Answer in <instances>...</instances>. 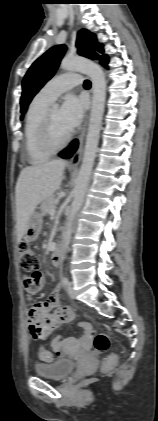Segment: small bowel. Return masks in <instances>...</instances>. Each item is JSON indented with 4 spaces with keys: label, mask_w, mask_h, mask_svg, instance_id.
<instances>
[{
    "label": "small bowel",
    "mask_w": 158,
    "mask_h": 421,
    "mask_svg": "<svg viewBox=\"0 0 158 421\" xmlns=\"http://www.w3.org/2000/svg\"><path fill=\"white\" fill-rule=\"evenodd\" d=\"M38 277L40 289L44 284V277L40 272H38ZM61 287V285L56 286L47 299L35 303L28 312V329L36 340L47 339L52 331L62 323L74 319V311L68 306L61 305ZM80 327L88 329L89 325L82 322ZM74 342L75 338L73 337L57 336L52 340L51 346L58 355L63 356Z\"/></svg>",
    "instance_id": "small-bowel-1"
}]
</instances>
